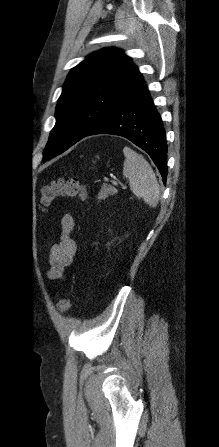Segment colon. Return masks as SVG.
I'll return each mask as SVG.
<instances>
[{"mask_svg":"<svg viewBox=\"0 0 219 447\" xmlns=\"http://www.w3.org/2000/svg\"><path fill=\"white\" fill-rule=\"evenodd\" d=\"M69 196L79 197L82 200L87 199L88 189L77 178L71 177L66 179H59L41 189V205L47 208L58 197ZM73 304L71 297H64L57 303V308L60 312L66 313L70 310Z\"/></svg>","mask_w":219,"mask_h":447,"instance_id":"obj_1","label":"colon"}]
</instances>
